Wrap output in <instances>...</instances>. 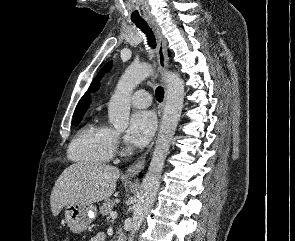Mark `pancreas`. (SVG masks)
Instances as JSON below:
<instances>
[{
	"instance_id": "pancreas-1",
	"label": "pancreas",
	"mask_w": 295,
	"mask_h": 241,
	"mask_svg": "<svg viewBox=\"0 0 295 241\" xmlns=\"http://www.w3.org/2000/svg\"><path fill=\"white\" fill-rule=\"evenodd\" d=\"M115 205V202L113 200L107 199L104 201V203L100 206L99 212L102 215H108L112 212V209Z\"/></svg>"
}]
</instances>
